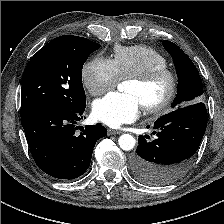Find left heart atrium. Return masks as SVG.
<instances>
[{
  "instance_id": "obj_1",
  "label": "left heart atrium",
  "mask_w": 224,
  "mask_h": 224,
  "mask_svg": "<svg viewBox=\"0 0 224 224\" xmlns=\"http://www.w3.org/2000/svg\"><path fill=\"white\" fill-rule=\"evenodd\" d=\"M142 103L131 93L111 92L93 104V114L102 123L117 128L134 121L140 114Z\"/></svg>"
}]
</instances>
